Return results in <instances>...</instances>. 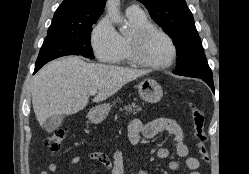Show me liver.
Here are the masks:
<instances>
[{"label":"liver","instance_id":"1","mask_svg":"<svg viewBox=\"0 0 249 174\" xmlns=\"http://www.w3.org/2000/svg\"><path fill=\"white\" fill-rule=\"evenodd\" d=\"M147 73L145 70L88 63L76 56L60 58L45 65L34 78L31 89L34 113L43 126L53 115H71L83 110L91 90H98L92 101L99 103Z\"/></svg>","mask_w":249,"mask_h":174}]
</instances>
